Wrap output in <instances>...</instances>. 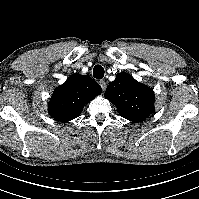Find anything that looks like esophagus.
Masks as SVG:
<instances>
[{
  "label": "esophagus",
  "mask_w": 199,
  "mask_h": 199,
  "mask_svg": "<svg viewBox=\"0 0 199 199\" xmlns=\"http://www.w3.org/2000/svg\"><path fill=\"white\" fill-rule=\"evenodd\" d=\"M99 84H100L102 90L105 91L106 87H107V83L104 80H100Z\"/></svg>",
  "instance_id": "esophagus-1"
}]
</instances>
